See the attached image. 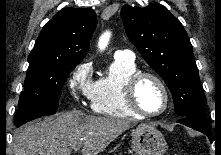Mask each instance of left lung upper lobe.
I'll return each mask as SVG.
<instances>
[{"label":"left lung upper lobe","mask_w":221,"mask_h":155,"mask_svg":"<svg viewBox=\"0 0 221 155\" xmlns=\"http://www.w3.org/2000/svg\"><path fill=\"white\" fill-rule=\"evenodd\" d=\"M121 17L129 40L170 89L180 117L206 118L204 90L192 45L181 22L163 5H125Z\"/></svg>","instance_id":"obj_1"}]
</instances>
